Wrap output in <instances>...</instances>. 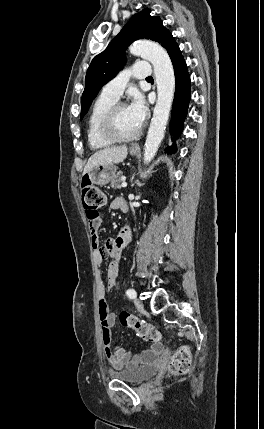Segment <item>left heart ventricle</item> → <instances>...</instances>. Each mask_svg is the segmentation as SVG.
<instances>
[{"label": "left heart ventricle", "instance_id": "left-heart-ventricle-1", "mask_svg": "<svg viewBox=\"0 0 264 429\" xmlns=\"http://www.w3.org/2000/svg\"><path fill=\"white\" fill-rule=\"evenodd\" d=\"M115 126L117 132L122 136H130L134 134L140 127V125L131 115L128 107H123L118 111L115 120Z\"/></svg>", "mask_w": 264, "mask_h": 429}]
</instances>
